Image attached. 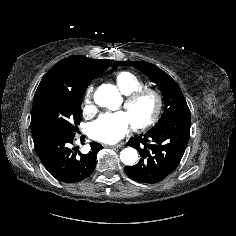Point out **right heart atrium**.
Masks as SVG:
<instances>
[{
  "label": "right heart atrium",
  "mask_w": 236,
  "mask_h": 236,
  "mask_svg": "<svg viewBox=\"0 0 236 236\" xmlns=\"http://www.w3.org/2000/svg\"><path fill=\"white\" fill-rule=\"evenodd\" d=\"M91 94H92V88H89L84 96L85 112H91L92 109Z\"/></svg>",
  "instance_id": "1"
}]
</instances>
